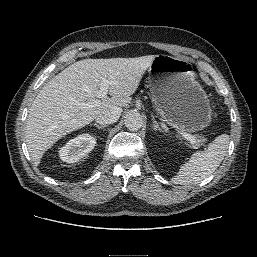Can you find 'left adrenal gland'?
<instances>
[{
	"instance_id": "obj_1",
	"label": "left adrenal gland",
	"mask_w": 257,
	"mask_h": 257,
	"mask_svg": "<svg viewBox=\"0 0 257 257\" xmlns=\"http://www.w3.org/2000/svg\"><path fill=\"white\" fill-rule=\"evenodd\" d=\"M151 117H152V120H153V129H154L155 131L164 132V131L161 129V127H160V125L158 124V122L156 121L154 115H151Z\"/></svg>"
}]
</instances>
